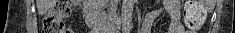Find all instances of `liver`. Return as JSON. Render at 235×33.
I'll list each match as a JSON object with an SVG mask.
<instances>
[{
    "instance_id": "liver-1",
    "label": "liver",
    "mask_w": 235,
    "mask_h": 33,
    "mask_svg": "<svg viewBox=\"0 0 235 33\" xmlns=\"http://www.w3.org/2000/svg\"><path fill=\"white\" fill-rule=\"evenodd\" d=\"M54 0H36L37 10L39 15H44L53 5Z\"/></svg>"
}]
</instances>
